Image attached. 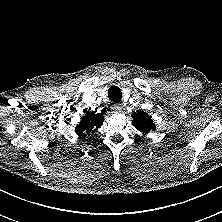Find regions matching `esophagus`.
<instances>
[{"label": "esophagus", "instance_id": "34e87169", "mask_svg": "<svg viewBox=\"0 0 222 222\" xmlns=\"http://www.w3.org/2000/svg\"><path fill=\"white\" fill-rule=\"evenodd\" d=\"M121 109H122V107L120 104H114L111 106V110L113 113H120Z\"/></svg>", "mask_w": 222, "mask_h": 222}]
</instances>
